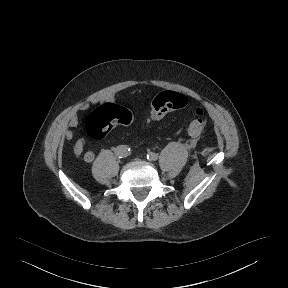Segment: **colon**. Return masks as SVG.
Here are the masks:
<instances>
[{
  "label": "colon",
  "instance_id": "colon-1",
  "mask_svg": "<svg viewBox=\"0 0 288 288\" xmlns=\"http://www.w3.org/2000/svg\"><path fill=\"white\" fill-rule=\"evenodd\" d=\"M186 105V99L180 93L167 92L159 95L151 104L150 118L153 121L163 119L168 113L182 109ZM133 115L128 110L112 105L103 104L95 108L87 117L86 132L96 141L104 139L116 124H130ZM206 120L200 113H195L190 121L187 132L192 137L201 135L205 129ZM94 152H84V160H92Z\"/></svg>",
  "mask_w": 288,
  "mask_h": 288
}]
</instances>
